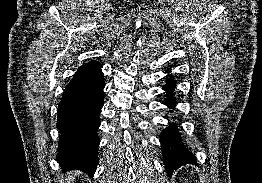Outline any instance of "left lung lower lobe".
<instances>
[{
  "label": "left lung lower lobe",
  "instance_id": "left-lung-lower-lobe-1",
  "mask_svg": "<svg viewBox=\"0 0 262 183\" xmlns=\"http://www.w3.org/2000/svg\"><path fill=\"white\" fill-rule=\"evenodd\" d=\"M167 72H169V69ZM174 84V79L167 77L166 85L163 87L167 92L164 104L170 108L174 107L176 103L173 95ZM160 141L165 169L169 176L182 165L197 163L195 156L182 143L178 128L175 125H169L161 132Z\"/></svg>",
  "mask_w": 262,
  "mask_h": 183
}]
</instances>
